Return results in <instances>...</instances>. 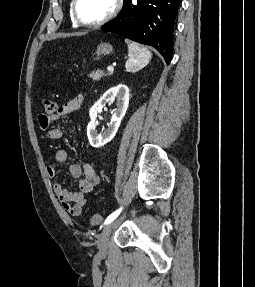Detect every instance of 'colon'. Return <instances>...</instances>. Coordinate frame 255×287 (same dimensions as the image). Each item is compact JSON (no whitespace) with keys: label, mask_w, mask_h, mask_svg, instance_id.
<instances>
[{"label":"colon","mask_w":255,"mask_h":287,"mask_svg":"<svg viewBox=\"0 0 255 287\" xmlns=\"http://www.w3.org/2000/svg\"><path fill=\"white\" fill-rule=\"evenodd\" d=\"M42 104L45 113L48 115L53 114L57 109L56 103L49 98H44L42 100ZM89 219L92 225H99L103 220V216L100 214H92L90 215Z\"/></svg>","instance_id":"5ec220e1"}]
</instances>
